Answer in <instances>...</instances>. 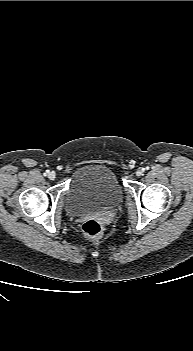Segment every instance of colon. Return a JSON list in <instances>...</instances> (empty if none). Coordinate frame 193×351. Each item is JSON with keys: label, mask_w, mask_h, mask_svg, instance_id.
Instances as JSON below:
<instances>
[{"label": "colon", "mask_w": 193, "mask_h": 351, "mask_svg": "<svg viewBox=\"0 0 193 351\" xmlns=\"http://www.w3.org/2000/svg\"><path fill=\"white\" fill-rule=\"evenodd\" d=\"M104 227L102 223L96 219H90L83 223V234L91 239H99L103 236Z\"/></svg>", "instance_id": "obj_1"}]
</instances>
